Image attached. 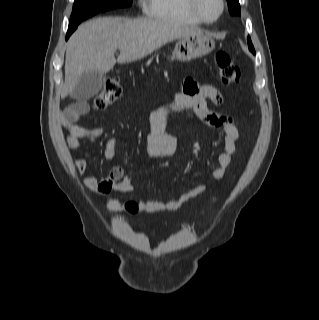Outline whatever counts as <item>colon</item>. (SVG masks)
<instances>
[{
	"mask_svg": "<svg viewBox=\"0 0 319 320\" xmlns=\"http://www.w3.org/2000/svg\"><path fill=\"white\" fill-rule=\"evenodd\" d=\"M219 69V78L223 84H235L240 80V71L235 65L233 58L224 51H218L215 56ZM123 85V75H114L106 78L101 92L95 99L98 108H105L113 104L121 95ZM126 209L135 213L138 211L136 202L126 203Z\"/></svg>",
	"mask_w": 319,
	"mask_h": 320,
	"instance_id": "1",
	"label": "colon"
}]
</instances>
